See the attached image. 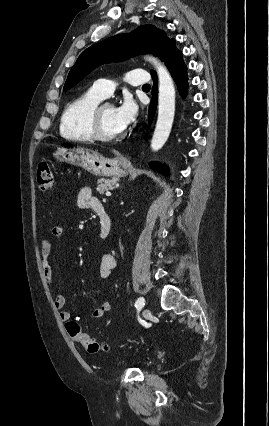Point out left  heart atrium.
Instances as JSON below:
<instances>
[{"instance_id":"left-heart-atrium-1","label":"left heart atrium","mask_w":269,"mask_h":426,"mask_svg":"<svg viewBox=\"0 0 269 426\" xmlns=\"http://www.w3.org/2000/svg\"><path fill=\"white\" fill-rule=\"evenodd\" d=\"M115 109V118L121 129L127 128L137 116V106L130 100L124 101Z\"/></svg>"}]
</instances>
